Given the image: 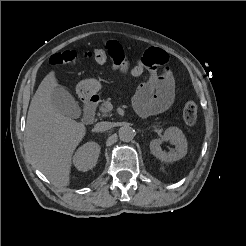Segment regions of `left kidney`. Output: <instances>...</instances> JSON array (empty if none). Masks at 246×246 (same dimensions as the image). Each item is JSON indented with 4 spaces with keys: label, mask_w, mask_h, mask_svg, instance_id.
<instances>
[{
    "label": "left kidney",
    "mask_w": 246,
    "mask_h": 246,
    "mask_svg": "<svg viewBox=\"0 0 246 246\" xmlns=\"http://www.w3.org/2000/svg\"><path fill=\"white\" fill-rule=\"evenodd\" d=\"M163 141H170L175 145V151L167 153L162 150L160 144ZM151 153L161 161L173 162L183 158L187 154V140L183 132L177 127H169L161 138L153 139L150 142Z\"/></svg>",
    "instance_id": "obj_1"
}]
</instances>
